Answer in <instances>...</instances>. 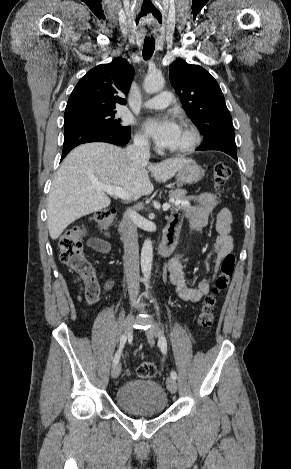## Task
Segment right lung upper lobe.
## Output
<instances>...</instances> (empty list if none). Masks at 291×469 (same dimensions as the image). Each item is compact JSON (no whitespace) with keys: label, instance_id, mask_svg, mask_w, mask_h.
Wrapping results in <instances>:
<instances>
[{"label":"right lung upper lobe","instance_id":"cb5924a9","mask_svg":"<svg viewBox=\"0 0 291 469\" xmlns=\"http://www.w3.org/2000/svg\"><path fill=\"white\" fill-rule=\"evenodd\" d=\"M134 71L123 58L91 69L80 79L68 100L65 114L91 109H115L116 104H126Z\"/></svg>","mask_w":291,"mask_h":469}]
</instances>
